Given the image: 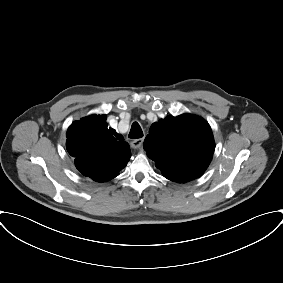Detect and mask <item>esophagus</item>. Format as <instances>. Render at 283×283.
I'll return each mask as SVG.
<instances>
[{
	"mask_svg": "<svg viewBox=\"0 0 283 283\" xmlns=\"http://www.w3.org/2000/svg\"><path fill=\"white\" fill-rule=\"evenodd\" d=\"M143 143V138H139V139H135L131 142V147L132 148H140L142 146Z\"/></svg>",
	"mask_w": 283,
	"mask_h": 283,
	"instance_id": "obj_1",
	"label": "esophagus"
}]
</instances>
